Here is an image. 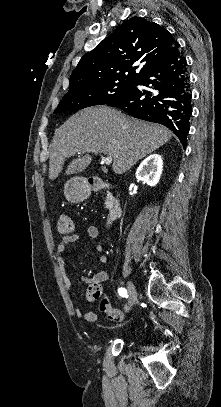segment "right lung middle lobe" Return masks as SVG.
Instances as JSON below:
<instances>
[{"label": "right lung middle lobe", "instance_id": "obj_1", "mask_svg": "<svg viewBox=\"0 0 221 407\" xmlns=\"http://www.w3.org/2000/svg\"><path fill=\"white\" fill-rule=\"evenodd\" d=\"M133 87L134 82H108L73 90L63 96L54 113L107 104L126 95Z\"/></svg>", "mask_w": 221, "mask_h": 407}]
</instances>
